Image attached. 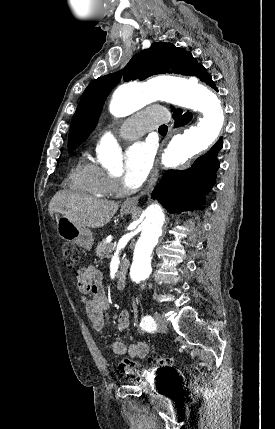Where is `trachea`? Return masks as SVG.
Masks as SVG:
<instances>
[{"instance_id":"obj_1","label":"trachea","mask_w":275,"mask_h":429,"mask_svg":"<svg viewBox=\"0 0 275 429\" xmlns=\"http://www.w3.org/2000/svg\"><path fill=\"white\" fill-rule=\"evenodd\" d=\"M167 130H168V127L166 126V125H162V126H160L159 127V132H167Z\"/></svg>"}]
</instances>
